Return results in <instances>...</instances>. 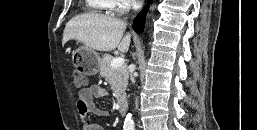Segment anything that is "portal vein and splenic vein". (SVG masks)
I'll list each match as a JSON object with an SVG mask.
<instances>
[{"instance_id": "1", "label": "portal vein and splenic vein", "mask_w": 257, "mask_h": 130, "mask_svg": "<svg viewBox=\"0 0 257 130\" xmlns=\"http://www.w3.org/2000/svg\"><path fill=\"white\" fill-rule=\"evenodd\" d=\"M125 60L123 57H116L111 62V68L115 69L117 67H120L124 64Z\"/></svg>"}]
</instances>
